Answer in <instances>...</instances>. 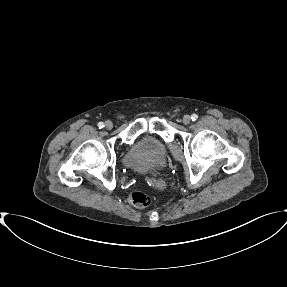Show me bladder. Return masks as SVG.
<instances>
[{"instance_id": "bladder-1", "label": "bladder", "mask_w": 287, "mask_h": 287, "mask_svg": "<svg viewBox=\"0 0 287 287\" xmlns=\"http://www.w3.org/2000/svg\"><path fill=\"white\" fill-rule=\"evenodd\" d=\"M166 159V148L161 140L153 136L141 138L130 149L126 165L136 171L149 172L163 166Z\"/></svg>"}]
</instances>
